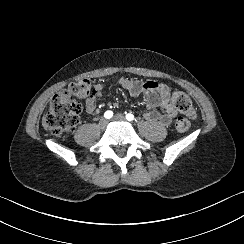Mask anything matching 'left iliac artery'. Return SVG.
I'll use <instances>...</instances> for the list:
<instances>
[{
  "label": "left iliac artery",
  "mask_w": 244,
  "mask_h": 244,
  "mask_svg": "<svg viewBox=\"0 0 244 244\" xmlns=\"http://www.w3.org/2000/svg\"><path fill=\"white\" fill-rule=\"evenodd\" d=\"M126 119H127L128 121H133V120H134V115L131 114V113H128V114L126 115Z\"/></svg>",
  "instance_id": "44dca946"
}]
</instances>
